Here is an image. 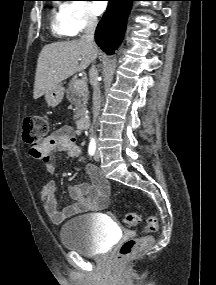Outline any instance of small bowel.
<instances>
[{"label": "small bowel", "mask_w": 216, "mask_h": 285, "mask_svg": "<svg viewBox=\"0 0 216 285\" xmlns=\"http://www.w3.org/2000/svg\"><path fill=\"white\" fill-rule=\"evenodd\" d=\"M75 131L70 126H63L48 135L40 145L37 158L45 162L48 173L55 172V161L52 153L56 151L59 155H68L80 158L82 155L80 147L76 143ZM84 174L90 183L70 184L69 195L74 203L62 210L58 209L56 199V185L48 182L40 191V199L46 214L54 224H61L66 219L90 211L104 209L108 205L110 187L106 179L93 165L84 168Z\"/></svg>", "instance_id": "c3829d8e"}]
</instances>
